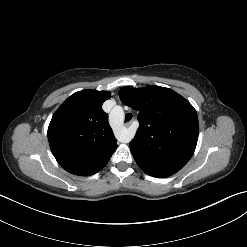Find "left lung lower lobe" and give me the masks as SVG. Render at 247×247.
I'll list each match as a JSON object with an SVG mask.
<instances>
[{"mask_svg": "<svg viewBox=\"0 0 247 247\" xmlns=\"http://www.w3.org/2000/svg\"><path fill=\"white\" fill-rule=\"evenodd\" d=\"M138 164V163H137ZM138 166L145 172L147 173L148 175L150 176H153V177H158V178H164V177H168L167 175H162V174H159L155 171H152L148 168H146L145 166L141 165V164H138Z\"/></svg>", "mask_w": 247, "mask_h": 247, "instance_id": "0a47b994", "label": "left lung lower lobe"}]
</instances>
